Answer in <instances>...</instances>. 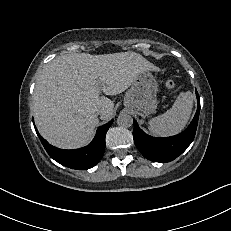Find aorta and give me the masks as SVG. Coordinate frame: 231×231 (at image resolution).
<instances>
[{"label": "aorta", "mask_w": 231, "mask_h": 231, "mask_svg": "<svg viewBox=\"0 0 231 231\" xmlns=\"http://www.w3.org/2000/svg\"><path fill=\"white\" fill-rule=\"evenodd\" d=\"M117 124L123 128L131 127L133 124V118L129 114L122 113L117 118Z\"/></svg>", "instance_id": "1"}]
</instances>
